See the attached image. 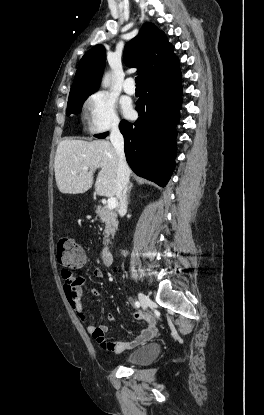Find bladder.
<instances>
[{
  "label": "bladder",
  "instance_id": "1",
  "mask_svg": "<svg viewBox=\"0 0 264 415\" xmlns=\"http://www.w3.org/2000/svg\"><path fill=\"white\" fill-rule=\"evenodd\" d=\"M160 353V345L148 344L130 353L125 361L133 366H144L154 361Z\"/></svg>",
  "mask_w": 264,
  "mask_h": 415
}]
</instances>
